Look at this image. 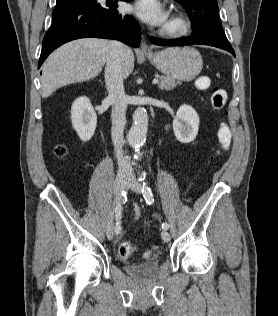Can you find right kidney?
<instances>
[{"instance_id":"ca27d5eb","label":"right kidney","mask_w":278,"mask_h":316,"mask_svg":"<svg viewBox=\"0 0 278 316\" xmlns=\"http://www.w3.org/2000/svg\"><path fill=\"white\" fill-rule=\"evenodd\" d=\"M72 126L83 142L89 141L94 135L97 116L89 98L79 97L72 104Z\"/></svg>"}]
</instances>
